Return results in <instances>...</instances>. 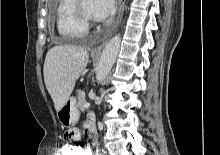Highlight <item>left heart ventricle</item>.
<instances>
[{
	"mask_svg": "<svg viewBox=\"0 0 220 155\" xmlns=\"http://www.w3.org/2000/svg\"><path fill=\"white\" fill-rule=\"evenodd\" d=\"M83 9L85 10V12L93 17L92 14V5H93V0H82L81 1Z\"/></svg>",
	"mask_w": 220,
	"mask_h": 155,
	"instance_id": "1",
	"label": "left heart ventricle"
}]
</instances>
